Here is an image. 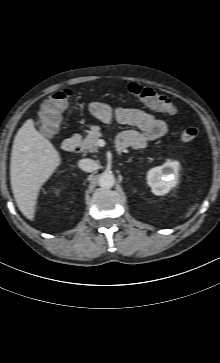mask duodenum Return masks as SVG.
Returning a JSON list of instances; mask_svg holds the SVG:
<instances>
[{"label":"duodenum","mask_w":220,"mask_h":363,"mask_svg":"<svg viewBox=\"0 0 220 363\" xmlns=\"http://www.w3.org/2000/svg\"><path fill=\"white\" fill-rule=\"evenodd\" d=\"M80 141L76 137H70L63 141L62 149L66 152H77L79 151Z\"/></svg>","instance_id":"1"}]
</instances>
